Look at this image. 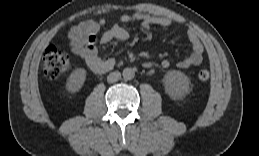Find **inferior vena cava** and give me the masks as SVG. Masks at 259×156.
Returning <instances> with one entry per match:
<instances>
[{"mask_svg": "<svg viewBox=\"0 0 259 156\" xmlns=\"http://www.w3.org/2000/svg\"><path fill=\"white\" fill-rule=\"evenodd\" d=\"M120 78H121V73L118 71H114L107 76V81L109 83H114V82H117Z\"/></svg>", "mask_w": 259, "mask_h": 156, "instance_id": "602c4592", "label": "inferior vena cava"}]
</instances>
